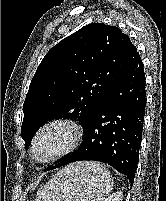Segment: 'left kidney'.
Segmentation results:
<instances>
[{"mask_svg":"<svg viewBox=\"0 0 166 201\" xmlns=\"http://www.w3.org/2000/svg\"><path fill=\"white\" fill-rule=\"evenodd\" d=\"M123 194L122 192H116L109 197L105 198L104 201H122Z\"/></svg>","mask_w":166,"mask_h":201,"instance_id":"obj_1","label":"left kidney"}]
</instances>
